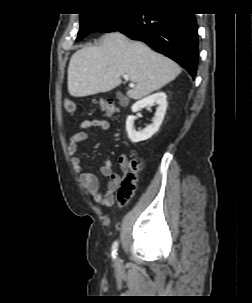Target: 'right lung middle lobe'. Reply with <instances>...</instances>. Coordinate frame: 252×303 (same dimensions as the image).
<instances>
[{
  "label": "right lung middle lobe",
  "instance_id": "right-lung-middle-lobe-1",
  "mask_svg": "<svg viewBox=\"0 0 252 303\" xmlns=\"http://www.w3.org/2000/svg\"><path fill=\"white\" fill-rule=\"evenodd\" d=\"M128 10L112 13H94V14H81L80 30L76 41L83 39L89 33L100 31L102 28L115 21Z\"/></svg>",
  "mask_w": 252,
  "mask_h": 303
}]
</instances>
